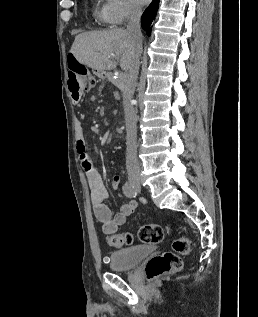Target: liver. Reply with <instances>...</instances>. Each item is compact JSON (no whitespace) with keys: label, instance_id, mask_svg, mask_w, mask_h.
Masks as SVG:
<instances>
[{"label":"liver","instance_id":"liver-1","mask_svg":"<svg viewBox=\"0 0 258 317\" xmlns=\"http://www.w3.org/2000/svg\"><path fill=\"white\" fill-rule=\"evenodd\" d=\"M71 52L78 62L103 72L116 68L117 62L112 54L121 56L120 66L123 70H128L136 54L131 34L123 28L81 32L75 36Z\"/></svg>","mask_w":258,"mask_h":317}]
</instances>
